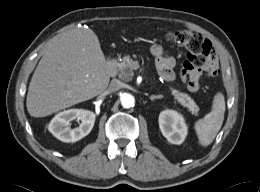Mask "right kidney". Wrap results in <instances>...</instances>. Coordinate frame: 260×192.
<instances>
[{
	"label": "right kidney",
	"instance_id": "1",
	"mask_svg": "<svg viewBox=\"0 0 260 192\" xmlns=\"http://www.w3.org/2000/svg\"><path fill=\"white\" fill-rule=\"evenodd\" d=\"M81 120L79 127L69 128L70 121ZM95 123V114L84 109H69L58 113L49 123L48 130L60 141L76 142L88 135Z\"/></svg>",
	"mask_w": 260,
	"mask_h": 192
}]
</instances>
